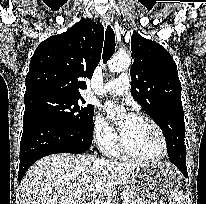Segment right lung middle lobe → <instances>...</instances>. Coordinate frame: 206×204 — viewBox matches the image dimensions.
<instances>
[{"label":"right lung middle lobe","mask_w":206,"mask_h":204,"mask_svg":"<svg viewBox=\"0 0 206 204\" xmlns=\"http://www.w3.org/2000/svg\"><path fill=\"white\" fill-rule=\"evenodd\" d=\"M85 103L81 96H66L55 93H43L24 99V117L47 116L59 123L71 127L89 130L92 127L94 107Z\"/></svg>","instance_id":"right-lung-middle-lobe-1"}]
</instances>
